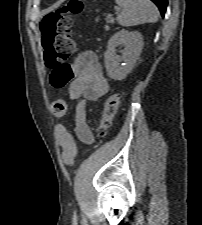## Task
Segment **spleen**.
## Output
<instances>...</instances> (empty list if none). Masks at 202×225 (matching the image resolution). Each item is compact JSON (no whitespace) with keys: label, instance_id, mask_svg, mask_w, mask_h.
Wrapping results in <instances>:
<instances>
[{"label":"spleen","instance_id":"obj_1","mask_svg":"<svg viewBox=\"0 0 202 225\" xmlns=\"http://www.w3.org/2000/svg\"><path fill=\"white\" fill-rule=\"evenodd\" d=\"M122 8L117 17L120 25L128 27L158 21L159 11L150 0H115Z\"/></svg>","mask_w":202,"mask_h":225}]
</instances>
